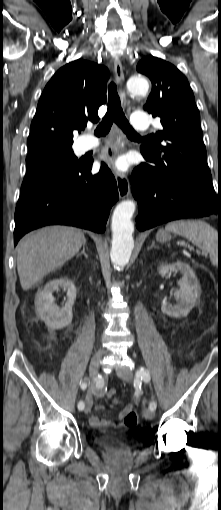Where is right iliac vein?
I'll list each match as a JSON object with an SVG mask.
<instances>
[{
  "instance_id": "right-iliac-vein-1",
  "label": "right iliac vein",
  "mask_w": 221,
  "mask_h": 510,
  "mask_svg": "<svg viewBox=\"0 0 221 510\" xmlns=\"http://www.w3.org/2000/svg\"><path fill=\"white\" fill-rule=\"evenodd\" d=\"M101 358H102V353L97 352L96 354H94V356L92 357V359L90 361L89 375L92 379H94L98 374V369H99V364H100ZM92 405H93L92 392L89 391L86 396V407H85L86 413H89L91 411Z\"/></svg>"
}]
</instances>
